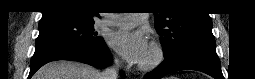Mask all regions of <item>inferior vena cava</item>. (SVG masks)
I'll list each match as a JSON object with an SVG mask.
<instances>
[{"label": "inferior vena cava", "instance_id": "inferior-vena-cava-1", "mask_svg": "<svg viewBox=\"0 0 255 79\" xmlns=\"http://www.w3.org/2000/svg\"><path fill=\"white\" fill-rule=\"evenodd\" d=\"M119 70V61L114 59L111 66L107 67L100 75V79H117Z\"/></svg>", "mask_w": 255, "mask_h": 79}]
</instances>
